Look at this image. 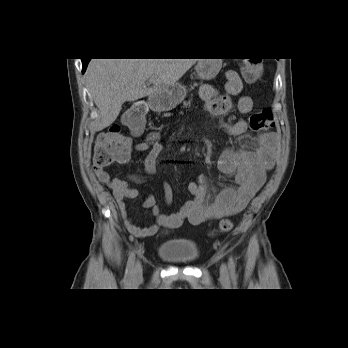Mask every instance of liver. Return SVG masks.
Masks as SVG:
<instances>
[{
	"mask_svg": "<svg viewBox=\"0 0 348 348\" xmlns=\"http://www.w3.org/2000/svg\"><path fill=\"white\" fill-rule=\"evenodd\" d=\"M199 59H92L86 69L89 91L100 112L99 130L110 126L126 101L159 93ZM155 79L151 87L146 81Z\"/></svg>",
	"mask_w": 348,
	"mask_h": 348,
	"instance_id": "6515ba94",
	"label": "liver"
}]
</instances>
